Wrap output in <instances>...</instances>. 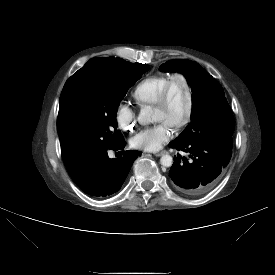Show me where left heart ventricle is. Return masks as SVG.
Listing matches in <instances>:
<instances>
[{
    "instance_id": "obj_1",
    "label": "left heart ventricle",
    "mask_w": 275,
    "mask_h": 275,
    "mask_svg": "<svg viewBox=\"0 0 275 275\" xmlns=\"http://www.w3.org/2000/svg\"><path fill=\"white\" fill-rule=\"evenodd\" d=\"M187 91L184 83L178 79L175 80L170 101L165 108H154V119L160 122H166L170 126L173 125L182 118L187 106Z\"/></svg>"
}]
</instances>
